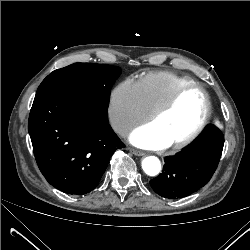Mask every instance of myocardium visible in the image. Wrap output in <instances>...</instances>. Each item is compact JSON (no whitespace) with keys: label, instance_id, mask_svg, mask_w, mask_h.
<instances>
[{"label":"myocardium","instance_id":"1","mask_svg":"<svg viewBox=\"0 0 250 250\" xmlns=\"http://www.w3.org/2000/svg\"><path fill=\"white\" fill-rule=\"evenodd\" d=\"M191 89H198L202 92L204 96V100H205V105H206L205 113L199 125L188 136H186L185 138L179 141L171 143V146L175 149H180L191 144L194 140H196L201 135V133L204 131V129L208 125L210 117H211V112H212V102H211V98L207 90L201 84H198L195 82L182 85L170 96V98L161 107H159L152 114L150 118V121L154 123L155 121L163 117L176 105L180 97L186 91L191 90Z\"/></svg>","mask_w":250,"mask_h":250}]
</instances>
